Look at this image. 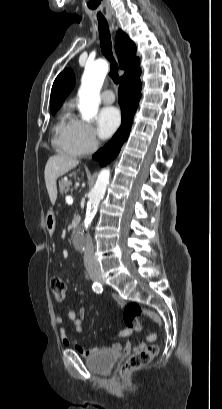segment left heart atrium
<instances>
[{
    "mask_svg": "<svg viewBox=\"0 0 222 409\" xmlns=\"http://www.w3.org/2000/svg\"><path fill=\"white\" fill-rule=\"evenodd\" d=\"M119 124V110L113 106L104 107L97 117V133L103 139L109 138L117 130Z\"/></svg>",
    "mask_w": 222,
    "mask_h": 409,
    "instance_id": "1",
    "label": "left heart atrium"
}]
</instances>
